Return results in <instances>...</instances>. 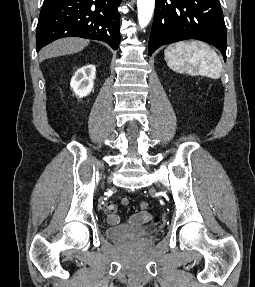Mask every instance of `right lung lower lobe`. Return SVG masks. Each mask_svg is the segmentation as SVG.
I'll use <instances>...</instances> for the list:
<instances>
[{
    "instance_id": "1",
    "label": "right lung lower lobe",
    "mask_w": 255,
    "mask_h": 287,
    "mask_svg": "<svg viewBox=\"0 0 255 287\" xmlns=\"http://www.w3.org/2000/svg\"><path fill=\"white\" fill-rule=\"evenodd\" d=\"M122 0H45L36 29L37 52L63 37L101 40L114 50L120 43L117 10Z\"/></svg>"
}]
</instances>
